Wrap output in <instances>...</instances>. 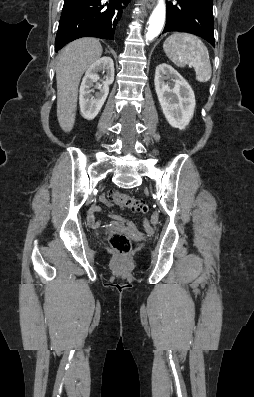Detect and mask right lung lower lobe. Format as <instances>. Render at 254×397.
<instances>
[{"label":"right lung lower lobe","instance_id":"right-lung-lower-lobe-1","mask_svg":"<svg viewBox=\"0 0 254 397\" xmlns=\"http://www.w3.org/2000/svg\"><path fill=\"white\" fill-rule=\"evenodd\" d=\"M130 0H65L55 40L57 52L67 43L81 37L113 40L123 10L121 3Z\"/></svg>","mask_w":254,"mask_h":397}]
</instances>
